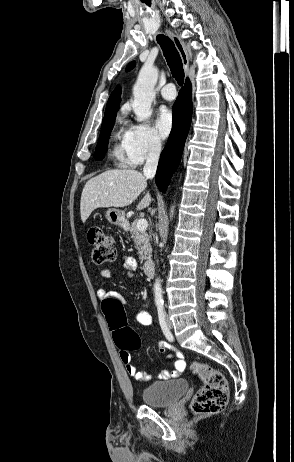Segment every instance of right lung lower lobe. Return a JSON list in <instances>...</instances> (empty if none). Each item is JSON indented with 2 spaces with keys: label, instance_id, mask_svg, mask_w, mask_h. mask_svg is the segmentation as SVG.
<instances>
[{
  "label": "right lung lower lobe",
  "instance_id": "obj_1",
  "mask_svg": "<svg viewBox=\"0 0 294 462\" xmlns=\"http://www.w3.org/2000/svg\"><path fill=\"white\" fill-rule=\"evenodd\" d=\"M191 90V83L187 79L173 105L172 130L168 138V144L161 153L156 173V184L162 192L169 185L170 179L181 160L192 117Z\"/></svg>",
  "mask_w": 294,
  "mask_h": 462
}]
</instances>
